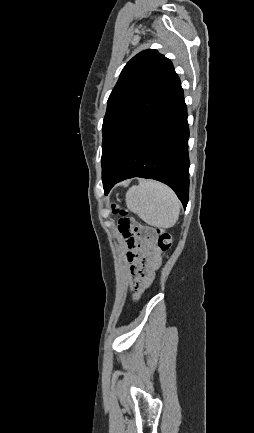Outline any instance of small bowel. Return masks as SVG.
Masks as SVG:
<instances>
[{
	"instance_id": "1",
	"label": "small bowel",
	"mask_w": 254,
	"mask_h": 433,
	"mask_svg": "<svg viewBox=\"0 0 254 433\" xmlns=\"http://www.w3.org/2000/svg\"><path fill=\"white\" fill-rule=\"evenodd\" d=\"M136 248V255L128 253L127 260L129 261V275L134 277V291L137 293L152 284L154 273L160 267L162 259L153 235H141Z\"/></svg>"
}]
</instances>
